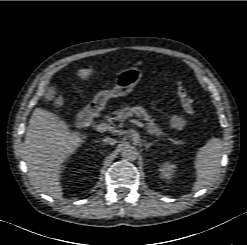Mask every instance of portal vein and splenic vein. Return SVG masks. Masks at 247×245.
<instances>
[{
	"label": "portal vein and splenic vein",
	"mask_w": 247,
	"mask_h": 245,
	"mask_svg": "<svg viewBox=\"0 0 247 245\" xmlns=\"http://www.w3.org/2000/svg\"><path fill=\"white\" fill-rule=\"evenodd\" d=\"M132 123L136 124L137 126L141 127L142 129H146V127L144 126V124L140 121L137 120H130ZM98 132H105L108 129V125L106 123H100L97 125L96 127Z\"/></svg>",
	"instance_id": "18ae733b"
}]
</instances>
